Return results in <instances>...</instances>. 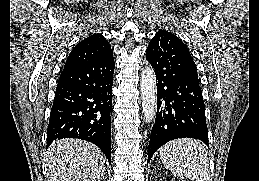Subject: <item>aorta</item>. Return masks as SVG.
<instances>
[{"label":"aorta","instance_id":"762f6f07","mask_svg":"<svg viewBox=\"0 0 259 181\" xmlns=\"http://www.w3.org/2000/svg\"><path fill=\"white\" fill-rule=\"evenodd\" d=\"M140 91L142 114L145 122L150 123L154 119L157 105L156 76L151 66H146L142 70Z\"/></svg>","mask_w":259,"mask_h":181}]
</instances>
